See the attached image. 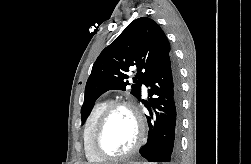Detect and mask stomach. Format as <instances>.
I'll list each match as a JSON object with an SVG mask.
<instances>
[{"mask_svg":"<svg viewBox=\"0 0 251 164\" xmlns=\"http://www.w3.org/2000/svg\"><path fill=\"white\" fill-rule=\"evenodd\" d=\"M128 164H142V163H139V162H135V163H128Z\"/></svg>","mask_w":251,"mask_h":164,"instance_id":"stomach-1","label":"stomach"}]
</instances>
